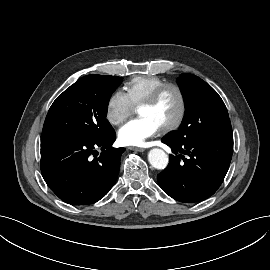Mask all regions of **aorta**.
I'll return each mask as SVG.
<instances>
[{
    "mask_svg": "<svg viewBox=\"0 0 270 270\" xmlns=\"http://www.w3.org/2000/svg\"><path fill=\"white\" fill-rule=\"evenodd\" d=\"M148 161L154 168L162 170L168 165V156L162 149L153 148L148 153Z\"/></svg>",
    "mask_w": 270,
    "mask_h": 270,
    "instance_id": "obj_1",
    "label": "aorta"
}]
</instances>
